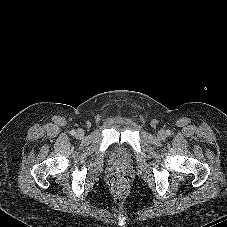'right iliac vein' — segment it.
Returning a JSON list of instances; mask_svg holds the SVG:
<instances>
[{
	"label": "right iliac vein",
	"mask_w": 227,
	"mask_h": 227,
	"mask_svg": "<svg viewBox=\"0 0 227 227\" xmlns=\"http://www.w3.org/2000/svg\"><path fill=\"white\" fill-rule=\"evenodd\" d=\"M83 136H84V131H83L82 129H78V130L76 131V137H77L78 139H81V138H83Z\"/></svg>",
	"instance_id": "right-iliac-vein-1"
}]
</instances>
